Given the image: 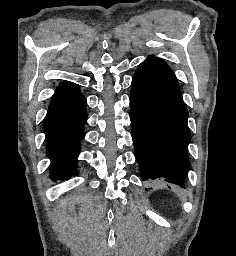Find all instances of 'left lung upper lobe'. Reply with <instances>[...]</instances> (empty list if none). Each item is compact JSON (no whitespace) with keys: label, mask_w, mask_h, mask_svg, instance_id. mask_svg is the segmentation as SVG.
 I'll use <instances>...</instances> for the list:
<instances>
[{"label":"left lung upper lobe","mask_w":236,"mask_h":256,"mask_svg":"<svg viewBox=\"0 0 236 256\" xmlns=\"http://www.w3.org/2000/svg\"><path fill=\"white\" fill-rule=\"evenodd\" d=\"M139 68L148 70L162 79L174 84L175 86H178V82L173 71L160 59L149 57L147 60L141 63Z\"/></svg>","instance_id":"5c2ea615"}]
</instances>
